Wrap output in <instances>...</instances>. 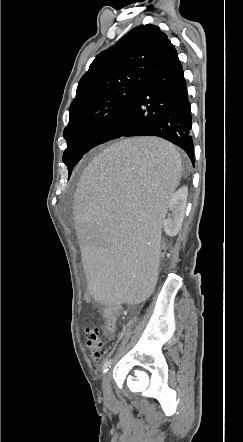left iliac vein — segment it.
I'll return each mask as SVG.
<instances>
[{"label": "left iliac vein", "instance_id": "obj_1", "mask_svg": "<svg viewBox=\"0 0 243 442\" xmlns=\"http://www.w3.org/2000/svg\"><path fill=\"white\" fill-rule=\"evenodd\" d=\"M103 394L106 403H110L113 400V391L111 386V373L107 372L103 377L102 382Z\"/></svg>", "mask_w": 243, "mask_h": 442}]
</instances>
